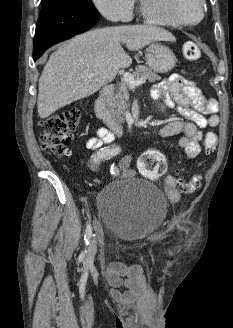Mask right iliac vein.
Returning <instances> with one entry per match:
<instances>
[{
  "label": "right iliac vein",
  "instance_id": "1",
  "mask_svg": "<svg viewBox=\"0 0 233 328\" xmlns=\"http://www.w3.org/2000/svg\"><path fill=\"white\" fill-rule=\"evenodd\" d=\"M96 251H97V246L94 240L90 241V244L88 246V252L86 255V263L88 265H90L92 263V261L94 260V257L96 255Z\"/></svg>",
  "mask_w": 233,
  "mask_h": 328
}]
</instances>
